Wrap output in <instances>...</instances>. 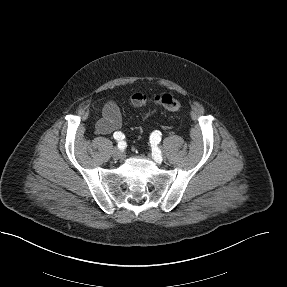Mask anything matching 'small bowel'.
Segmentation results:
<instances>
[{
  "mask_svg": "<svg viewBox=\"0 0 287 287\" xmlns=\"http://www.w3.org/2000/svg\"><path fill=\"white\" fill-rule=\"evenodd\" d=\"M122 118L118 105L114 101L105 104L102 116L96 123V132L99 134H110L121 127Z\"/></svg>",
  "mask_w": 287,
  "mask_h": 287,
  "instance_id": "1",
  "label": "small bowel"
}]
</instances>
